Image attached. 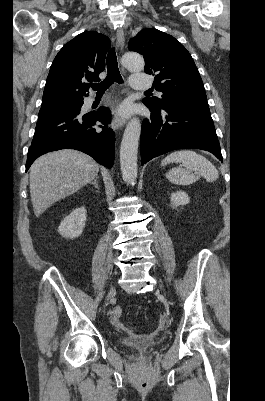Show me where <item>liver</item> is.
<instances>
[{
  "label": "liver",
  "mask_w": 265,
  "mask_h": 401,
  "mask_svg": "<svg viewBox=\"0 0 265 401\" xmlns=\"http://www.w3.org/2000/svg\"><path fill=\"white\" fill-rule=\"evenodd\" d=\"M99 164L79 150H56L39 156L30 166V194L35 217L53 203L91 182Z\"/></svg>",
  "instance_id": "6515ba94"
}]
</instances>
